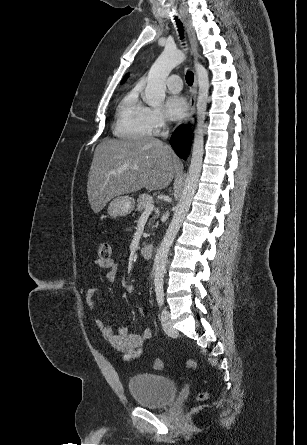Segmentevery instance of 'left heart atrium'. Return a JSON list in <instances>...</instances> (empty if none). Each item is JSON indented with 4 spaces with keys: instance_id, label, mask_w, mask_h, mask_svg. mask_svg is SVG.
<instances>
[{
    "instance_id": "left-heart-atrium-1",
    "label": "left heart atrium",
    "mask_w": 307,
    "mask_h": 445,
    "mask_svg": "<svg viewBox=\"0 0 307 445\" xmlns=\"http://www.w3.org/2000/svg\"><path fill=\"white\" fill-rule=\"evenodd\" d=\"M164 108L169 118L179 120L186 114L188 105L180 94L170 92L164 99Z\"/></svg>"
}]
</instances>
